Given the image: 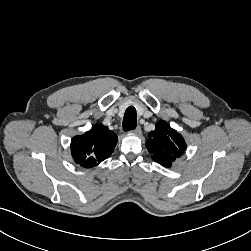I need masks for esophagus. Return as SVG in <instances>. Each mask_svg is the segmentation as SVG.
<instances>
[{
    "mask_svg": "<svg viewBox=\"0 0 251 251\" xmlns=\"http://www.w3.org/2000/svg\"><path fill=\"white\" fill-rule=\"evenodd\" d=\"M132 132L136 135H140L141 134V128L139 126H137L135 129L132 130Z\"/></svg>",
    "mask_w": 251,
    "mask_h": 251,
    "instance_id": "34e87169",
    "label": "esophagus"
}]
</instances>
